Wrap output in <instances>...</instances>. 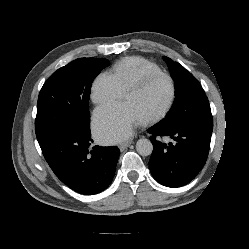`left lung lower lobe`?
I'll return each instance as SVG.
<instances>
[{
    "label": "left lung lower lobe",
    "instance_id": "obj_1",
    "mask_svg": "<svg viewBox=\"0 0 249 249\" xmlns=\"http://www.w3.org/2000/svg\"><path fill=\"white\" fill-rule=\"evenodd\" d=\"M212 130L213 122L184 128L158 123L149 128L153 144L149 167L154 179L167 187H180L194 179L207 160ZM165 136L175 142L163 143Z\"/></svg>",
    "mask_w": 249,
    "mask_h": 249
}]
</instances>
